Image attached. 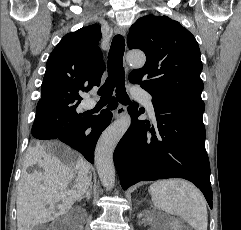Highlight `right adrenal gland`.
Returning <instances> with one entry per match:
<instances>
[{"label": "right adrenal gland", "mask_w": 241, "mask_h": 230, "mask_svg": "<svg viewBox=\"0 0 241 230\" xmlns=\"http://www.w3.org/2000/svg\"><path fill=\"white\" fill-rule=\"evenodd\" d=\"M91 191H92V184L89 186L88 190L86 191L85 195H83L81 198L78 199V201H81L84 198H87V200L91 197Z\"/></svg>", "instance_id": "2a0ac1e0"}]
</instances>
